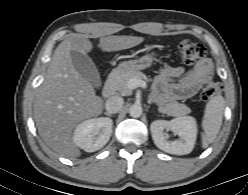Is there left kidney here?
I'll use <instances>...</instances> for the list:
<instances>
[{
  "label": "left kidney",
  "instance_id": "5707ae66",
  "mask_svg": "<svg viewBox=\"0 0 248 195\" xmlns=\"http://www.w3.org/2000/svg\"><path fill=\"white\" fill-rule=\"evenodd\" d=\"M150 130L155 145L170 154H189L195 145L197 137L196 120L191 116L178 117L170 121L156 120L151 123ZM165 130L179 136L177 140H169Z\"/></svg>",
  "mask_w": 248,
  "mask_h": 195
}]
</instances>
